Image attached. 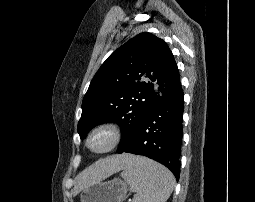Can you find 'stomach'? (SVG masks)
I'll return each instance as SVG.
<instances>
[{
  "instance_id": "obj_1",
  "label": "stomach",
  "mask_w": 255,
  "mask_h": 202,
  "mask_svg": "<svg viewBox=\"0 0 255 202\" xmlns=\"http://www.w3.org/2000/svg\"><path fill=\"white\" fill-rule=\"evenodd\" d=\"M129 188L120 179L98 181L81 191L80 202H122Z\"/></svg>"
}]
</instances>
